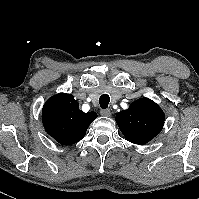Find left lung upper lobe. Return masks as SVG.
Instances as JSON below:
<instances>
[{"instance_id": "5c2ea615", "label": "left lung upper lobe", "mask_w": 199, "mask_h": 199, "mask_svg": "<svg viewBox=\"0 0 199 199\" xmlns=\"http://www.w3.org/2000/svg\"><path fill=\"white\" fill-rule=\"evenodd\" d=\"M115 119L128 141L146 144L161 131L165 115L154 101L141 98L117 113Z\"/></svg>"}]
</instances>
